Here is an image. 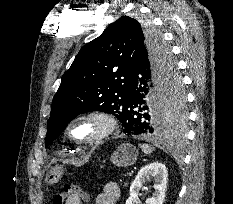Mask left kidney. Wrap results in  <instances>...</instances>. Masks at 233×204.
Here are the masks:
<instances>
[{
	"instance_id": "5707ae66",
	"label": "left kidney",
	"mask_w": 233,
	"mask_h": 204,
	"mask_svg": "<svg viewBox=\"0 0 233 204\" xmlns=\"http://www.w3.org/2000/svg\"><path fill=\"white\" fill-rule=\"evenodd\" d=\"M168 172L164 164L154 162L141 168L130 186V197L126 204L138 202L139 191L147 181H153L154 193L146 200V204H163L167 188Z\"/></svg>"
}]
</instances>
